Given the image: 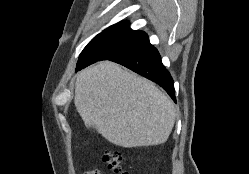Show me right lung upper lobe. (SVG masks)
<instances>
[{
	"label": "right lung upper lobe",
	"mask_w": 249,
	"mask_h": 174,
	"mask_svg": "<svg viewBox=\"0 0 249 174\" xmlns=\"http://www.w3.org/2000/svg\"><path fill=\"white\" fill-rule=\"evenodd\" d=\"M128 22L127 21H124V22H121V23H117V24H115V25H112V26H110L109 28H107V29H110V28H114V27H120V26H128Z\"/></svg>",
	"instance_id": "cb5924a9"
}]
</instances>
